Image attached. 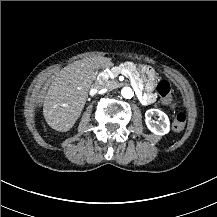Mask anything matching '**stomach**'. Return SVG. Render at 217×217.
I'll list each match as a JSON object with an SVG mask.
<instances>
[{
  "mask_svg": "<svg viewBox=\"0 0 217 217\" xmlns=\"http://www.w3.org/2000/svg\"><path fill=\"white\" fill-rule=\"evenodd\" d=\"M139 73L142 78L144 90L146 93H151L155 90L157 79L154 69L148 65H140Z\"/></svg>",
  "mask_w": 217,
  "mask_h": 217,
  "instance_id": "obj_1",
  "label": "stomach"
}]
</instances>
